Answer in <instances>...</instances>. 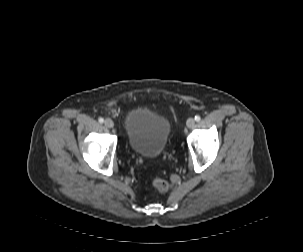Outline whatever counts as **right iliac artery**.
<instances>
[{
    "label": "right iliac artery",
    "mask_w": 303,
    "mask_h": 252,
    "mask_svg": "<svg viewBox=\"0 0 303 252\" xmlns=\"http://www.w3.org/2000/svg\"><path fill=\"white\" fill-rule=\"evenodd\" d=\"M98 121H99L100 123H103V122H104V119L100 117V118L98 119Z\"/></svg>",
    "instance_id": "right-iliac-artery-1"
}]
</instances>
